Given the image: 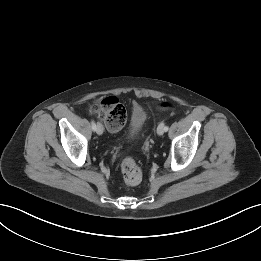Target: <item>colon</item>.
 <instances>
[{
    "instance_id": "1",
    "label": "colon",
    "mask_w": 261,
    "mask_h": 261,
    "mask_svg": "<svg viewBox=\"0 0 261 261\" xmlns=\"http://www.w3.org/2000/svg\"><path fill=\"white\" fill-rule=\"evenodd\" d=\"M170 104L163 103L162 107L170 108ZM93 110L104 121L108 129L117 131L121 129L127 119V112L123 104H121L118 98L114 96H108L97 102ZM121 174L123 180L128 186H135L142 180V171L137 163L132 158H125L121 163Z\"/></svg>"
}]
</instances>
